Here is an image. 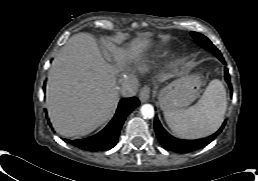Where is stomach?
Wrapping results in <instances>:
<instances>
[{"label":"stomach","mask_w":258,"mask_h":181,"mask_svg":"<svg viewBox=\"0 0 258 181\" xmlns=\"http://www.w3.org/2000/svg\"><path fill=\"white\" fill-rule=\"evenodd\" d=\"M202 86L199 74L176 79L158 93V103L162 110H175L190 105L198 96Z\"/></svg>","instance_id":"stomach-1"}]
</instances>
